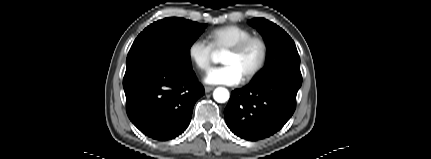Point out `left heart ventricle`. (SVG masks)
<instances>
[{"label": "left heart ventricle", "instance_id": "obj_1", "mask_svg": "<svg viewBox=\"0 0 431 159\" xmlns=\"http://www.w3.org/2000/svg\"><path fill=\"white\" fill-rule=\"evenodd\" d=\"M260 54L261 50L259 45L253 44L241 55L225 53L222 61L225 65L236 67L244 77L256 67L260 59Z\"/></svg>", "mask_w": 431, "mask_h": 159}]
</instances>
